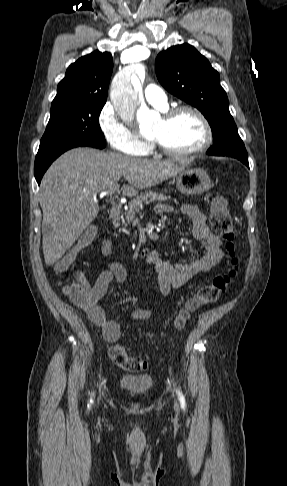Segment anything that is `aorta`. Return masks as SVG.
<instances>
[{"label": "aorta", "instance_id": "1", "mask_svg": "<svg viewBox=\"0 0 287 486\" xmlns=\"http://www.w3.org/2000/svg\"><path fill=\"white\" fill-rule=\"evenodd\" d=\"M141 90L137 75L122 72L112 81L110 98L123 120L131 122L136 119L140 128H150L153 114L142 101Z\"/></svg>", "mask_w": 287, "mask_h": 486}]
</instances>
